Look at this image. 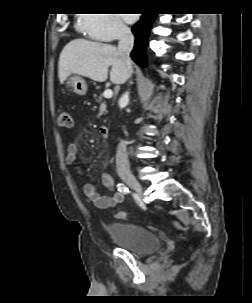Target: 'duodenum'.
Here are the masks:
<instances>
[{
  "label": "duodenum",
  "mask_w": 252,
  "mask_h": 303,
  "mask_svg": "<svg viewBox=\"0 0 252 303\" xmlns=\"http://www.w3.org/2000/svg\"><path fill=\"white\" fill-rule=\"evenodd\" d=\"M99 133H100V136L103 137V138L108 137V135H109V128H108V126L101 125L99 127Z\"/></svg>",
  "instance_id": "410a0bca"
}]
</instances>
